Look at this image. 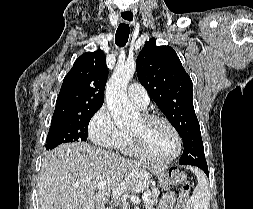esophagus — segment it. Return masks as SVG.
<instances>
[{
    "mask_svg": "<svg viewBox=\"0 0 253 209\" xmlns=\"http://www.w3.org/2000/svg\"><path fill=\"white\" fill-rule=\"evenodd\" d=\"M120 19L122 22L133 24L135 21V13L132 11H122L120 12Z\"/></svg>",
    "mask_w": 253,
    "mask_h": 209,
    "instance_id": "obj_1",
    "label": "esophagus"
}]
</instances>
